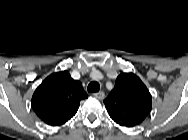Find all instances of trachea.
Listing matches in <instances>:
<instances>
[{
    "label": "trachea",
    "instance_id": "3493384b",
    "mask_svg": "<svg viewBox=\"0 0 188 140\" xmlns=\"http://www.w3.org/2000/svg\"><path fill=\"white\" fill-rule=\"evenodd\" d=\"M87 90L89 93H94V92H98L100 90V85L98 82H91L88 87Z\"/></svg>",
    "mask_w": 188,
    "mask_h": 140
}]
</instances>
